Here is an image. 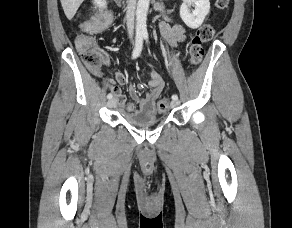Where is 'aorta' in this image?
Wrapping results in <instances>:
<instances>
[{"mask_svg":"<svg viewBox=\"0 0 292 228\" xmlns=\"http://www.w3.org/2000/svg\"><path fill=\"white\" fill-rule=\"evenodd\" d=\"M149 3H150V0H138L137 10H136V16H137L136 30L139 33L147 32L146 21H147Z\"/></svg>","mask_w":292,"mask_h":228,"instance_id":"obj_1","label":"aorta"}]
</instances>
